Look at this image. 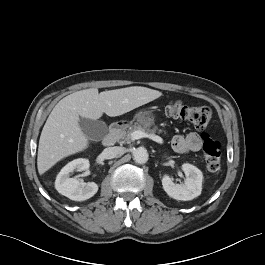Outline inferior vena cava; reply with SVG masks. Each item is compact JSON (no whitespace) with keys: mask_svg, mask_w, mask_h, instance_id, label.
<instances>
[{"mask_svg":"<svg viewBox=\"0 0 265 265\" xmlns=\"http://www.w3.org/2000/svg\"><path fill=\"white\" fill-rule=\"evenodd\" d=\"M122 148L121 147H117V146H114V147H108V148H105L102 152V156L105 158V159H112V158H115L117 157L119 154L122 153Z\"/></svg>","mask_w":265,"mask_h":265,"instance_id":"inferior-vena-cava-1","label":"inferior vena cava"}]
</instances>
